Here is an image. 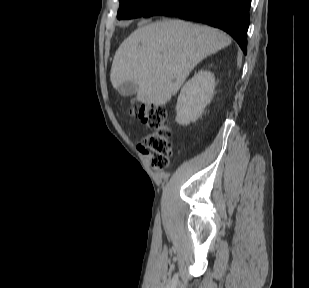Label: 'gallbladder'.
<instances>
[{"instance_id": "gallbladder-1", "label": "gallbladder", "mask_w": 309, "mask_h": 288, "mask_svg": "<svg viewBox=\"0 0 309 288\" xmlns=\"http://www.w3.org/2000/svg\"><path fill=\"white\" fill-rule=\"evenodd\" d=\"M136 89H137V86L135 85L133 81H126L119 85L118 92L122 96H129L133 94L136 91Z\"/></svg>"}]
</instances>
